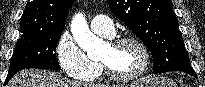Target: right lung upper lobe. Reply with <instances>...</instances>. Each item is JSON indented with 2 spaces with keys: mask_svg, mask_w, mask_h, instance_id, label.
<instances>
[{
  "mask_svg": "<svg viewBox=\"0 0 205 87\" xmlns=\"http://www.w3.org/2000/svg\"><path fill=\"white\" fill-rule=\"evenodd\" d=\"M74 0H33L25 7L21 17L20 31H62L69 9Z\"/></svg>",
  "mask_w": 205,
  "mask_h": 87,
  "instance_id": "obj_1",
  "label": "right lung upper lobe"
}]
</instances>
